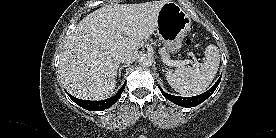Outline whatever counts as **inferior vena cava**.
I'll return each mask as SVG.
<instances>
[{
	"instance_id": "inferior-vena-cava-1",
	"label": "inferior vena cava",
	"mask_w": 276,
	"mask_h": 138,
	"mask_svg": "<svg viewBox=\"0 0 276 138\" xmlns=\"http://www.w3.org/2000/svg\"><path fill=\"white\" fill-rule=\"evenodd\" d=\"M137 52L136 51H125L120 54L119 61L126 64H131L136 60Z\"/></svg>"
}]
</instances>
